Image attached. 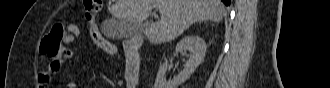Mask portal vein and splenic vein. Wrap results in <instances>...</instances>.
I'll return each instance as SVG.
<instances>
[{
  "label": "portal vein and splenic vein",
  "mask_w": 330,
  "mask_h": 88,
  "mask_svg": "<svg viewBox=\"0 0 330 88\" xmlns=\"http://www.w3.org/2000/svg\"><path fill=\"white\" fill-rule=\"evenodd\" d=\"M159 12H160V13L162 12L161 9H159Z\"/></svg>",
  "instance_id": "18ae733b"
}]
</instances>
